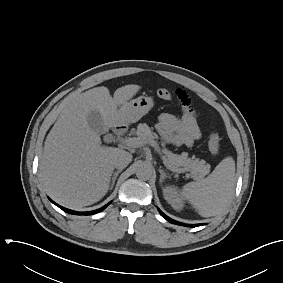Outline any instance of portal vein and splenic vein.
Instances as JSON below:
<instances>
[{
	"mask_svg": "<svg viewBox=\"0 0 283 283\" xmlns=\"http://www.w3.org/2000/svg\"><path fill=\"white\" fill-rule=\"evenodd\" d=\"M122 142H123V144H125V145H127V146H129V147H133V148L141 147V146H143L144 144L147 143V141H146V142H143V141L139 140V139L136 138V137L123 139ZM148 143H149L152 147H154L155 150H156L157 152H159V154H161V153H160V147H159V145L157 144L156 141L150 140V141H148ZM173 171H176V172H184L183 169H176V170H173Z\"/></svg>",
	"mask_w": 283,
	"mask_h": 283,
	"instance_id": "obj_1",
	"label": "portal vein and splenic vein"
}]
</instances>
